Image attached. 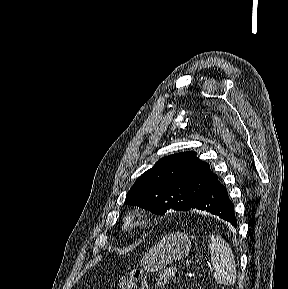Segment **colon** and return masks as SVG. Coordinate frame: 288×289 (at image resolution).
Segmentation results:
<instances>
[{"mask_svg": "<svg viewBox=\"0 0 288 289\" xmlns=\"http://www.w3.org/2000/svg\"><path fill=\"white\" fill-rule=\"evenodd\" d=\"M114 289H149L146 273L141 269L133 270L129 275L120 277Z\"/></svg>", "mask_w": 288, "mask_h": 289, "instance_id": "5ec220e1", "label": "colon"}]
</instances>
